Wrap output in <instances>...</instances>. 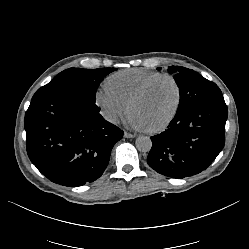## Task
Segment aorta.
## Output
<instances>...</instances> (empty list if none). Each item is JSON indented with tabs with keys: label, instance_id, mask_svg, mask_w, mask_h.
Segmentation results:
<instances>
[{
	"label": "aorta",
	"instance_id": "762f6f07",
	"mask_svg": "<svg viewBox=\"0 0 249 249\" xmlns=\"http://www.w3.org/2000/svg\"><path fill=\"white\" fill-rule=\"evenodd\" d=\"M136 148L141 152H149L152 148V141L148 136H139L135 141Z\"/></svg>",
	"mask_w": 249,
	"mask_h": 249
}]
</instances>
